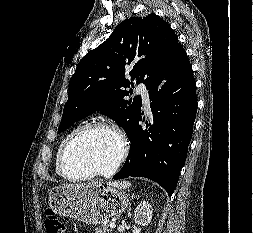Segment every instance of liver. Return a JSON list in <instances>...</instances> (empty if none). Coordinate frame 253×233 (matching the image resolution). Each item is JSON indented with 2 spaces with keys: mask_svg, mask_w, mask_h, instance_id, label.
Here are the masks:
<instances>
[{
  "mask_svg": "<svg viewBox=\"0 0 253 233\" xmlns=\"http://www.w3.org/2000/svg\"><path fill=\"white\" fill-rule=\"evenodd\" d=\"M91 184H101V183L92 182V183H89V184H80V185H71V186H85V185H91Z\"/></svg>",
  "mask_w": 253,
  "mask_h": 233,
  "instance_id": "liver-1",
  "label": "liver"
}]
</instances>
